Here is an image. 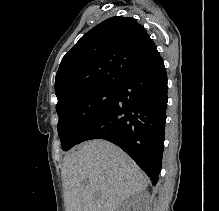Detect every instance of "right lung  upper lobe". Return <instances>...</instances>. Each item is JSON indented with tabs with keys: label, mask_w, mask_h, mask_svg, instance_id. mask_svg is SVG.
Instances as JSON below:
<instances>
[{
	"label": "right lung upper lobe",
	"mask_w": 219,
	"mask_h": 211,
	"mask_svg": "<svg viewBox=\"0 0 219 211\" xmlns=\"http://www.w3.org/2000/svg\"><path fill=\"white\" fill-rule=\"evenodd\" d=\"M159 56L135 19L111 17L87 32L63 57L55 79L58 103L97 87H115Z\"/></svg>",
	"instance_id": "1"
}]
</instances>
